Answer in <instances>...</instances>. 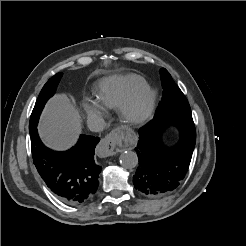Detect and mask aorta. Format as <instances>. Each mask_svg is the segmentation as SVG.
<instances>
[{"mask_svg":"<svg viewBox=\"0 0 246 246\" xmlns=\"http://www.w3.org/2000/svg\"><path fill=\"white\" fill-rule=\"evenodd\" d=\"M120 164L127 169H132L138 164V156L133 151H125L120 155Z\"/></svg>","mask_w":246,"mask_h":246,"instance_id":"762f6f07","label":"aorta"}]
</instances>
